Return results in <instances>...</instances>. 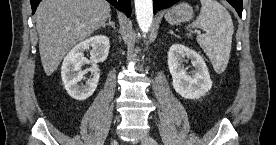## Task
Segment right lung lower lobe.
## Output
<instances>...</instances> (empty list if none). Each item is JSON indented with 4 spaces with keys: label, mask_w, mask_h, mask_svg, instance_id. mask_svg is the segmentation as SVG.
<instances>
[{
    "label": "right lung lower lobe",
    "mask_w": 276,
    "mask_h": 145,
    "mask_svg": "<svg viewBox=\"0 0 276 145\" xmlns=\"http://www.w3.org/2000/svg\"><path fill=\"white\" fill-rule=\"evenodd\" d=\"M41 0H30L32 7V14L35 13L36 7L38 6ZM111 3L116 9L123 11L128 17L131 14V4L130 0H107Z\"/></svg>",
    "instance_id": "obj_1"
}]
</instances>
